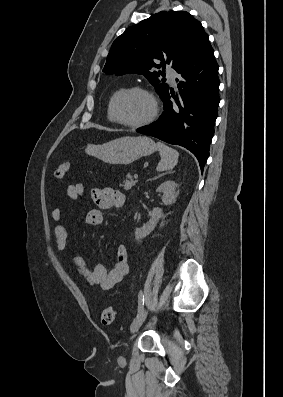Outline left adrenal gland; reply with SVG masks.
<instances>
[{
    "label": "left adrenal gland",
    "instance_id": "left-adrenal-gland-1",
    "mask_svg": "<svg viewBox=\"0 0 283 397\" xmlns=\"http://www.w3.org/2000/svg\"><path fill=\"white\" fill-rule=\"evenodd\" d=\"M165 174H167V173H163V174H161V175H159V176L153 178V180H156V179L160 178L161 176H164Z\"/></svg>",
    "mask_w": 283,
    "mask_h": 397
}]
</instances>
